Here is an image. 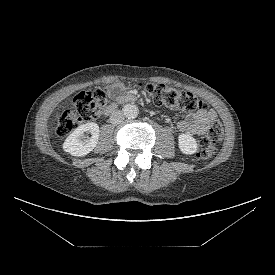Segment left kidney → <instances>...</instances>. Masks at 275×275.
<instances>
[{"label":"left kidney","mask_w":275,"mask_h":275,"mask_svg":"<svg viewBox=\"0 0 275 275\" xmlns=\"http://www.w3.org/2000/svg\"><path fill=\"white\" fill-rule=\"evenodd\" d=\"M178 141L179 148L184 154L191 155L197 151V142L192 136L181 134L178 137Z\"/></svg>","instance_id":"5707ae66"}]
</instances>
